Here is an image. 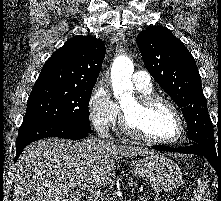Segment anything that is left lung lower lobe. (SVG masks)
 I'll return each mask as SVG.
<instances>
[{
    "instance_id": "0a47b994",
    "label": "left lung lower lobe",
    "mask_w": 221,
    "mask_h": 201,
    "mask_svg": "<svg viewBox=\"0 0 221 201\" xmlns=\"http://www.w3.org/2000/svg\"><path fill=\"white\" fill-rule=\"evenodd\" d=\"M155 150L160 151H170V152H180L186 154H200L203 155L210 164L214 167L218 174L221 173V153L216 148L208 147L202 143H192V145L182 148H169L166 146H152Z\"/></svg>"
}]
</instances>
